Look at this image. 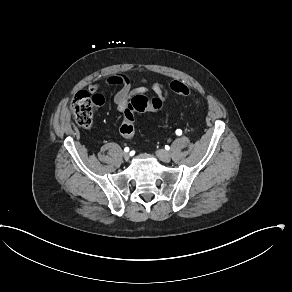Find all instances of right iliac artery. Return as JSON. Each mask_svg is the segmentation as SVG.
<instances>
[{
    "label": "right iliac artery",
    "mask_w": 292,
    "mask_h": 292,
    "mask_svg": "<svg viewBox=\"0 0 292 292\" xmlns=\"http://www.w3.org/2000/svg\"><path fill=\"white\" fill-rule=\"evenodd\" d=\"M124 151L125 152H128L129 151V148L128 147H125Z\"/></svg>",
    "instance_id": "right-iliac-artery-1"
}]
</instances>
